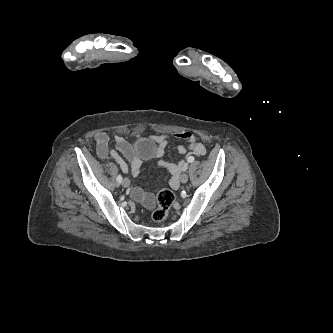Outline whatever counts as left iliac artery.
Wrapping results in <instances>:
<instances>
[{
	"label": "left iliac artery",
	"instance_id": "1",
	"mask_svg": "<svg viewBox=\"0 0 333 333\" xmlns=\"http://www.w3.org/2000/svg\"><path fill=\"white\" fill-rule=\"evenodd\" d=\"M193 158L190 157L189 162H193ZM187 167L184 168V171H186Z\"/></svg>",
	"mask_w": 333,
	"mask_h": 333
}]
</instances>
